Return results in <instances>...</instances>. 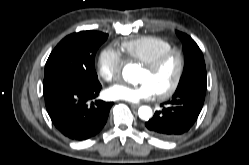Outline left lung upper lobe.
<instances>
[{"label": "left lung upper lobe", "mask_w": 249, "mask_h": 165, "mask_svg": "<svg viewBox=\"0 0 249 165\" xmlns=\"http://www.w3.org/2000/svg\"><path fill=\"white\" fill-rule=\"evenodd\" d=\"M176 34L183 41V52L185 56L184 70L176 92L183 91L190 87L206 89V67L200 48L188 35L179 31H176Z\"/></svg>", "instance_id": "5c2ea615"}]
</instances>
